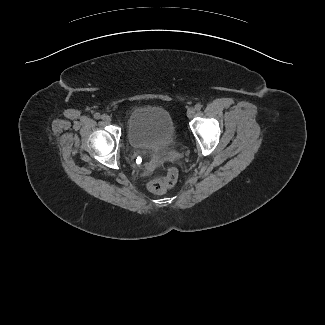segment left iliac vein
<instances>
[{"label":"left iliac vein","mask_w":325,"mask_h":325,"mask_svg":"<svg viewBox=\"0 0 325 325\" xmlns=\"http://www.w3.org/2000/svg\"><path fill=\"white\" fill-rule=\"evenodd\" d=\"M195 114H196L195 108L191 107L188 109V111H187L188 118H190V119L193 118L195 116Z\"/></svg>","instance_id":"obj_1"}]
</instances>
